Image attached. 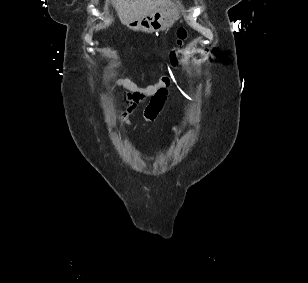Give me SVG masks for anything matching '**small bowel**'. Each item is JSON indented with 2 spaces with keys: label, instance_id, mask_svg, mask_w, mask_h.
<instances>
[{
  "label": "small bowel",
  "instance_id": "c3829d8e",
  "mask_svg": "<svg viewBox=\"0 0 308 283\" xmlns=\"http://www.w3.org/2000/svg\"><path fill=\"white\" fill-rule=\"evenodd\" d=\"M114 84L123 89L121 98L124 109L121 111V121L126 125H132L130 116L147 99L149 102L144 109L143 117L145 122H153L161 112L168 95L169 84L163 81L140 86L129 78L115 77Z\"/></svg>",
  "mask_w": 308,
  "mask_h": 283
}]
</instances>
